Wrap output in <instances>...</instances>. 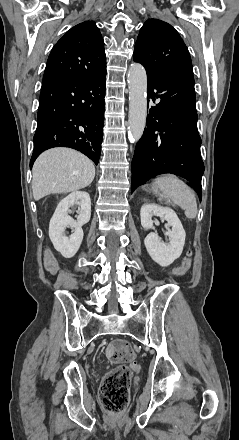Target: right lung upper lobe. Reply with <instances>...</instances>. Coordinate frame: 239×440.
<instances>
[{
  "label": "right lung upper lobe",
  "instance_id": "cb5924a9",
  "mask_svg": "<svg viewBox=\"0 0 239 440\" xmlns=\"http://www.w3.org/2000/svg\"><path fill=\"white\" fill-rule=\"evenodd\" d=\"M105 70L106 55L99 28L93 21H85L67 31L53 47L43 83L88 78Z\"/></svg>",
  "mask_w": 239,
  "mask_h": 440
}]
</instances>
